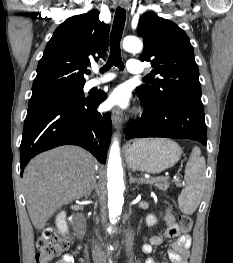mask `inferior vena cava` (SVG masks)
Returning <instances> with one entry per match:
<instances>
[{"label":"inferior vena cava","mask_w":233,"mask_h":263,"mask_svg":"<svg viewBox=\"0 0 233 263\" xmlns=\"http://www.w3.org/2000/svg\"><path fill=\"white\" fill-rule=\"evenodd\" d=\"M93 260H94V263H106L102 250L98 245H95L94 247Z\"/></svg>","instance_id":"inferior-vena-cava-1"}]
</instances>
